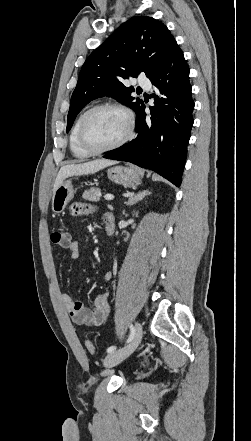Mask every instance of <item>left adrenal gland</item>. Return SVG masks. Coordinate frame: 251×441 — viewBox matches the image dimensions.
Here are the masks:
<instances>
[{
    "instance_id": "left-adrenal-gland-1",
    "label": "left adrenal gland",
    "mask_w": 251,
    "mask_h": 441,
    "mask_svg": "<svg viewBox=\"0 0 251 441\" xmlns=\"http://www.w3.org/2000/svg\"><path fill=\"white\" fill-rule=\"evenodd\" d=\"M150 192L148 190L139 191L136 194L132 195L128 201L126 202L127 206H132L137 202L141 201L145 196L149 195Z\"/></svg>"
}]
</instances>
